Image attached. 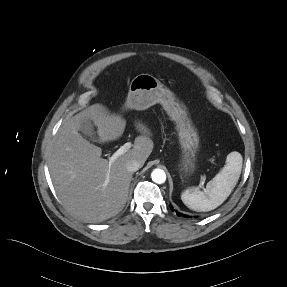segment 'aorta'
Here are the masks:
<instances>
[{
    "label": "aorta",
    "mask_w": 287,
    "mask_h": 287,
    "mask_svg": "<svg viewBox=\"0 0 287 287\" xmlns=\"http://www.w3.org/2000/svg\"><path fill=\"white\" fill-rule=\"evenodd\" d=\"M152 181L157 184H163L166 181V173L162 169H154L151 173Z\"/></svg>",
    "instance_id": "762f6f07"
}]
</instances>
